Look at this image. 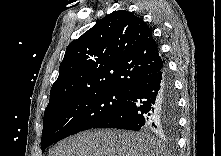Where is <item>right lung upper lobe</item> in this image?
Instances as JSON below:
<instances>
[{
	"label": "right lung upper lobe",
	"mask_w": 221,
	"mask_h": 156,
	"mask_svg": "<svg viewBox=\"0 0 221 156\" xmlns=\"http://www.w3.org/2000/svg\"><path fill=\"white\" fill-rule=\"evenodd\" d=\"M164 66L146 23L126 10L112 12L68 45L47 108L82 93L128 92Z\"/></svg>",
	"instance_id": "cb5924a9"
}]
</instances>
